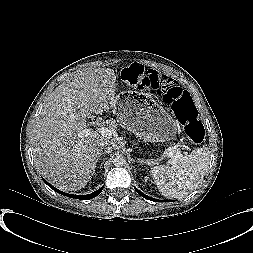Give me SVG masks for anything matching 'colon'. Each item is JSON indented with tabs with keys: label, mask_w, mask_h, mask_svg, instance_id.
Returning a JSON list of instances; mask_svg holds the SVG:
<instances>
[{
	"label": "colon",
	"mask_w": 253,
	"mask_h": 253,
	"mask_svg": "<svg viewBox=\"0 0 253 253\" xmlns=\"http://www.w3.org/2000/svg\"><path fill=\"white\" fill-rule=\"evenodd\" d=\"M147 71L139 64H131L122 70L125 82L138 86ZM164 104L171 108L176 118L183 124L186 136L194 143H200L205 136V129L197 119V108L188 91L181 86H171L160 90Z\"/></svg>",
	"instance_id": "obj_1"
}]
</instances>
